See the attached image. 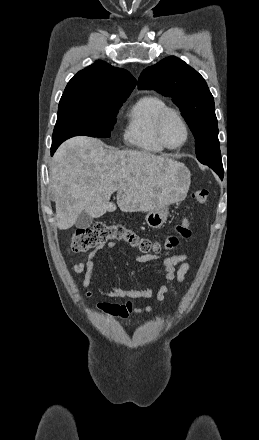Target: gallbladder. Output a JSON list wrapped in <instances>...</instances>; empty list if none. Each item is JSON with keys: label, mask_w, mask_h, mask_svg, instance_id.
Here are the masks:
<instances>
[{"label": "gallbladder", "mask_w": 259, "mask_h": 440, "mask_svg": "<svg viewBox=\"0 0 259 440\" xmlns=\"http://www.w3.org/2000/svg\"><path fill=\"white\" fill-rule=\"evenodd\" d=\"M93 218L85 211H82L75 222V226L80 229H87L91 226Z\"/></svg>", "instance_id": "1"}]
</instances>
